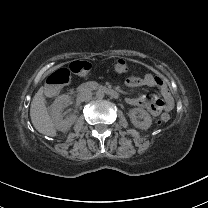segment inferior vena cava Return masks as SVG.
<instances>
[{"mask_svg": "<svg viewBox=\"0 0 208 208\" xmlns=\"http://www.w3.org/2000/svg\"><path fill=\"white\" fill-rule=\"evenodd\" d=\"M91 98H92V92L87 89L80 91L78 94V99L80 101H89Z\"/></svg>", "mask_w": 208, "mask_h": 208, "instance_id": "inferior-vena-cava-1", "label": "inferior vena cava"}]
</instances>
